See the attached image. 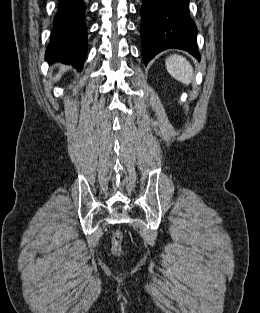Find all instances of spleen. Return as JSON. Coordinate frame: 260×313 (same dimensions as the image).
<instances>
[{"label":"spleen","instance_id":"spleen-1","mask_svg":"<svg viewBox=\"0 0 260 313\" xmlns=\"http://www.w3.org/2000/svg\"><path fill=\"white\" fill-rule=\"evenodd\" d=\"M166 69L169 74L177 81L189 85L193 78V68L189 61L181 55H170L165 61Z\"/></svg>","mask_w":260,"mask_h":313}]
</instances>
